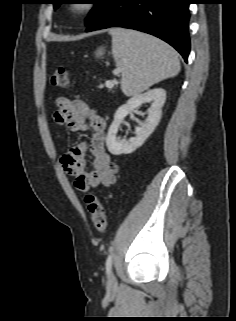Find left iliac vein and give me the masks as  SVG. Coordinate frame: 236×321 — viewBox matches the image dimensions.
Here are the masks:
<instances>
[{
    "instance_id": "1",
    "label": "left iliac vein",
    "mask_w": 236,
    "mask_h": 321,
    "mask_svg": "<svg viewBox=\"0 0 236 321\" xmlns=\"http://www.w3.org/2000/svg\"><path fill=\"white\" fill-rule=\"evenodd\" d=\"M116 283H117V281H116V278H115L114 274L110 273L109 277H108V285L109 286H114V285H116Z\"/></svg>"
}]
</instances>
